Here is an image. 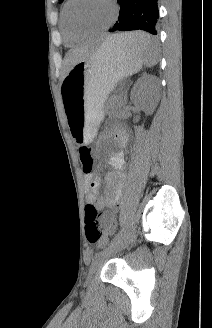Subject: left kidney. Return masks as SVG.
Wrapping results in <instances>:
<instances>
[{"label":"left kidney","mask_w":212,"mask_h":328,"mask_svg":"<svg viewBox=\"0 0 212 328\" xmlns=\"http://www.w3.org/2000/svg\"><path fill=\"white\" fill-rule=\"evenodd\" d=\"M131 101L140 105L147 114H152L159 100V84L155 76L145 74L135 83Z\"/></svg>","instance_id":"5707ae66"}]
</instances>
